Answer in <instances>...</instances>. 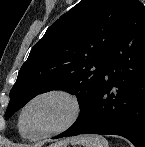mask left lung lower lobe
I'll return each instance as SVG.
<instances>
[{"mask_svg":"<svg viewBox=\"0 0 145 147\" xmlns=\"http://www.w3.org/2000/svg\"><path fill=\"white\" fill-rule=\"evenodd\" d=\"M119 135L145 147V6L131 0L87 111L56 136Z\"/></svg>","mask_w":145,"mask_h":147,"instance_id":"left-lung-lower-lobe-1","label":"left lung lower lobe"}]
</instances>
